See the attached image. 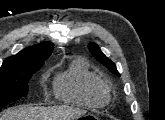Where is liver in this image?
<instances>
[{"mask_svg":"<svg viewBox=\"0 0 165 120\" xmlns=\"http://www.w3.org/2000/svg\"><path fill=\"white\" fill-rule=\"evenodd\" d=\"M84 111L72 107H31L22 106L8 109L0 120H69L75 118Z\"/></svg>","mask_w":165,"mask_h":120,"instance_id":"1","label":"liver"}]
</instances>
